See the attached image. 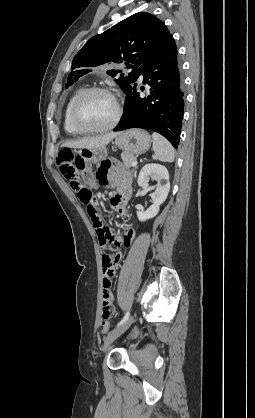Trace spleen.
Here are the masks:
<instances>
[{
  "mask_svg": "<svg viewBox=\"0 0 255 418\" xmlns=\"http://www.w3.org/2000/svg\"><path fill=\"white\" fill-rule=\"evenodd\" d=\"M152 138L154 151V155L152 156L153 159L164 162H173L175 159V154L171 143L158 133H153Z\"/></svg>",
  "mask_w": 255,
  "mask_h": 418,
  "instance_id": "3e777b00",
  "label": "spleen"
}]
</instances>
